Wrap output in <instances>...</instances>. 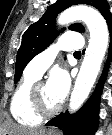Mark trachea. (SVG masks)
<instances>
[{
	"label": "trachea",
	"mask_w": 112,
	"mask_h": 135,
	"mask_svg": "<svg viewBox=\"0 0 112 135\" xmlns=\"http://www.w3.org/2000/svg\"><path fill=\"white\" fill-rule=\"evenodd\" d=\"M74 54L75 55H79V54H81V52L80 51H76V52H74Z\"/></svg>",
	"instance_id": "obj_1"
}]
</instances>
